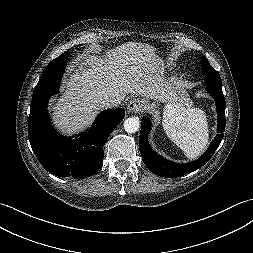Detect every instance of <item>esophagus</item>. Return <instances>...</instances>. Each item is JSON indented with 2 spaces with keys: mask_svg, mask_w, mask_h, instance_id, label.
<instances>
[{
  "mask_svg": "<svg viewBox=\"0 0 253 253\" xmlns=\"http://www.w3.org/2000/svg\"><path fill=\"white\" fill-rule=\"evenodd\" d=\"M143 109V105L136 99H132L129 101L127 105V112L128 113H136Z\"/></svg>",
  "mask_w": 253,
  "mask_h": 253,
  "instance_id": "esophagus-1",
  "label": "esophagus"
}]
</instances>
